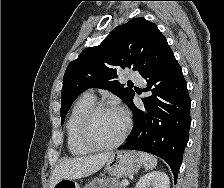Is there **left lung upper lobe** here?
<instances>
[{"label": "left lung upper lobe", "instance_id": "left-lung-upper-lobe-1", "mask_svg": "<svg viewBox=\"0 0 224 188\" xmlns=\"http://www.w3.org/2000/svg\"><path fill=\"white\" fill-rule=\"evenodd\" d=\"M173 52L156 24L143 17L117 26L100 45L85 49L64 74L60 115L62 122L76 97L88 88L107 89L128 106L134 91L117 80V70H137L142 77L166 63Z\"/></svg>", "mask_w": 224, "mask_h": 188}]
</instances>
